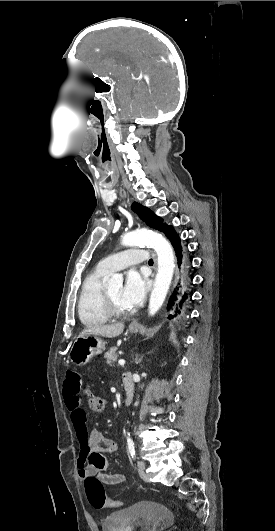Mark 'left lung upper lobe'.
<instances>
[{
	"label": "left lung upper lobe",
	"mask_w": 275,
	"mask_h": 531,
	"mask_svg": "<svg viewBox=\"0 0 275 531\" xmlns=\"http://www.w3.org/2000/svg\"><path fill=\"white\" fill-rule=\"evenodd\" d=\"M132 209L139 215V217L151 228L162 231L163 233L169 227L162 222V219L155 215L150 209L142 206L141 204L134 203Z\"/></svg>",
	"instance_id": "5c2ea615"
}]
</instances>
